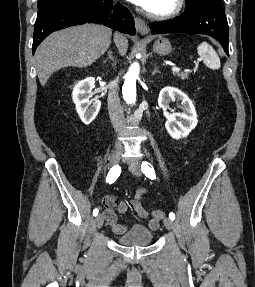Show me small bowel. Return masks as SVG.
<instances>
[{"instance_id":"small-bowel-1","label":"small bowel","mask_w":255,"mask_h":287,"mask_svg":"<svg viewBox=\"0 0 255 287\" xmlns=\"http://www.w3.org/2000/svg\"><path fill=\"white\" fill-rule=\"evenodd\" d=\"M146 191L144 188H139L136 192V196L132 199L129 204L125 201L117 200L113 196H106L103 199L104 205V216L106 222L110 226L112 232L116 235H121L125 233L128 229V224H122L118 222L117 213L125 214L128 206L130 205L134 212L137 214L138 217L142 219H148V227L155 231L159 227L158 219L154 217H150V213L146 210L141 200L143 199Z\"/></svg>"}]
</instances>
